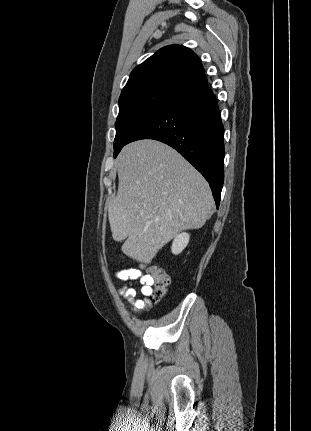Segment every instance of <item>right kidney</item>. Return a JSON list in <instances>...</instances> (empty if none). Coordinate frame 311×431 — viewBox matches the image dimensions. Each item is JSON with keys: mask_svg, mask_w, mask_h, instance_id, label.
Returning a JSON list of instances; mask_svg holds the SVG:
<instances>
[{"mask_svg": "<svg viewBox=\"0 0 311 431\" xmlns=\"http://www.w3.org/2000/svg\"><path fill=\"white\" fill-rule=\"evenodd\" d=\"M189 237L190 235L189 233H186V231H183V233H178V235H176L175 239L172 241V253H175V255H177V253H181L184 247H186Z\"/></svg>", "mask_w": 311, "mask_h": 431, "instance_id": "1", "label": "right kidney"}]
</instances>
